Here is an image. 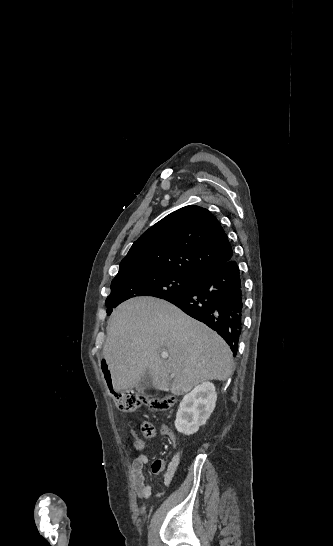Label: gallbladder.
<instances>
[{
  "label": "gallbladder",
  "mask_w": 333,
  "mask_h": 546,
  "mask_svg": "<svg viewBox=\"0 0 333 546\" xmlns=\"http://www.w3.org/2000/svg\"><path fill=\"white\" fill-rule=\"evenodd\" d=\"M136 390L143 395H150L154 391L151 375L146 372L136 386Z\"/></svg>",
  "instance_id": "bac80fb5"
}]
</instances>
